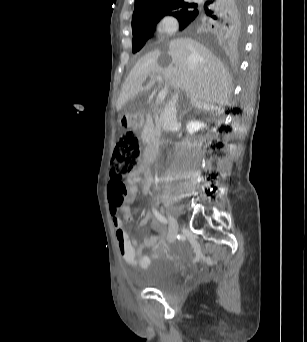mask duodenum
<instances>
[{
	"mask_svg": "<svg viewBox=\"0 0 307 342\" xmlns=\"http://www.w3.org/2000/svg\"><path fill=\"white\" fill-rule=\"evenodd\" d=\"M124 125L126 128H131L132 125L136 128H141L143 125L142 118L126 117ZM155 152H156V149L154 146H144L143 151H142L143 161L146 164H149L150 161L154 158Z\"/></svg>",
	"mask_w": 307,
	"mask_h": 342,
	"instance_id": "1",
	"label": "duodenum"
}]
</instances>
